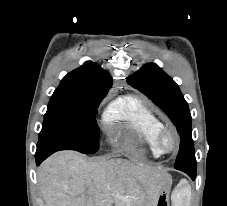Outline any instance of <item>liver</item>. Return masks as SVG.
Wrapping results in <instances>:
<instances>
[{
  "instance_id": "6515ba94",
  "label": "liver",
  "mask_w": 227,
  "mask_h": 206,
  "mask_svg": "<svg viewBox=\"0 0 227 206\" xmlns=\"http://www.w3.org/2000/svg\"><path fill=\"white\" fill-rule=\"evenodd\" d=\"M45 206H156L171 176L124 159H91L74 151L50 156L39 168Z\"/></svg>"
}]
</instances>
